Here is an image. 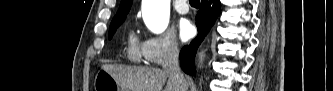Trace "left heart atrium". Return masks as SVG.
<instances>
[{
    "instance_id": "obj_1",
    "label": "left heart atrium",
    "mask_w": 333,
    "mask_h": 91,
    "mask_svg": "<svg viewBox=\"0 0 333 91\" xmlns=\"http://www.w3.org/2000/svg\"><path fill=\"white\" fill-rule=\"evenodd\" d=\"M178 31L182 41L189 40L195 34V28L193 24L187 19L180 21Z\"/></svg>"
}]
</instances>
